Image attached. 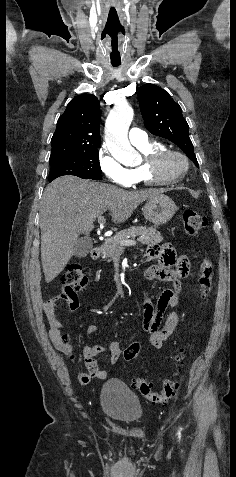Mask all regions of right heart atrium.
I'll return each mask as SVG.
<instances>
[{
  "label": "right heart atrium",
  "mask_w": 236,
  "mask_h": 477,
  "mask_svg": "<svg viewBox=\"0 0 236 477\" xmlns=\"http://www.w3.org/2000/svg\"><path fill=\"white\" fill-rule=\"evenodd\" d=\"M98 164L101 172L110 183L121 187H129L131 185L128 169L108 151L106 146H102L99 150Z\"/></svg>",
  "instance_id": "obj_1"
}]
</instances>
